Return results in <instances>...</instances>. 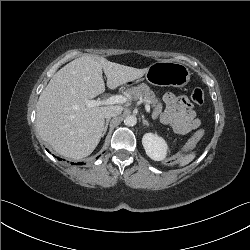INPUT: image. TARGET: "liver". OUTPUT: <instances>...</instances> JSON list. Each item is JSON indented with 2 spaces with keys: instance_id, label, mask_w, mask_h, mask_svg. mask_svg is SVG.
<instances>
[{
  "instance_id": "liver-1",
  "label": "liver",
  "mask_w": 250,
  "mask_h": 250,
  "mask_svg": "<svg viewBox=\"0 0 250 250\" xmlns=\"http://www.w3.org/2000/svg\"><path fill=\"white\" fill-rule=\"evenodd\" d=\"M147 70L92 55L69 62L53 75L38 99L39 135L64 157L76 160L87 157L102 137L105 113L111 107L88 108L85 104V100L105 91L102 71L107 87L115 89L141 78Z\"/></svg>"
}]
</instances>
